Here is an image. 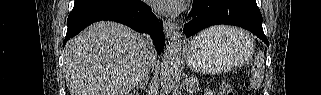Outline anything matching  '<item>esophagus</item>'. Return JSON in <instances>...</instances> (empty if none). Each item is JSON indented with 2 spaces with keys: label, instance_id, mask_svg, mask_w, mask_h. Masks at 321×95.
<instances>
[{
  "label": "esophagus",
  "instance_id": "obj_1",
  "mask_svg": "<svg viewBox=\"0 0 321 95\" xmlns=\"http://www.w3.org/2000/svg\"><path fill=\"white\" fill-rule=\"evenodd\" d=\"M177 30V25L172 21L164 22V31L167 38H170Z\"/></svg>",
  "mask_w": 321,
  "mask_h": 95
}]
</instances>
